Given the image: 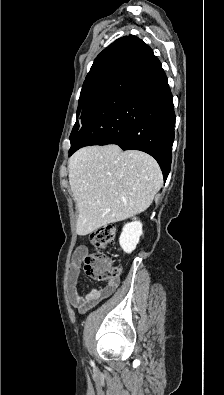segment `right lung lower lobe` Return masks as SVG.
Here are the masks:
<instances>
[{
	"label": "right lung lower lobe",
	"mask_w": 224,
	"mask_h": 395,
	"mask_svg": "<svg viewBox=\"0 0 224 395\" xmlns=\"http://www.w3.org/2000/svg\"><path fill=\"white\" fill-rule=\"evenodd\" d=\"M175 113L160 61L143 43L120 74L69 156L89 145L117 144L153 156L166 180L171 167Z\"/></svg>",
	"instance_id": "right-lung-lower-lobe-1"
}]
</instances>
